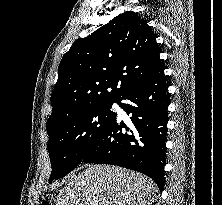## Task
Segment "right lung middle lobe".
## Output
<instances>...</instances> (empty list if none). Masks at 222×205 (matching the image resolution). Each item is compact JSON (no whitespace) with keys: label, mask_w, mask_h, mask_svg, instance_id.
Instances as JSON below:
<instances>
[{"label":"right lung middle lobe","mask_w":222,"mask_h":205,"mask_svg":"<svg viewBox=\"0 0 222 205\" xmlns=\"http://www.w3.org/2000/svg\"><path fill=\"white\" fill-rule=\"evenodd\" d=\"M113 102L119 103L106 101L93 104L46 125L52 166L50 183L71 172L83 160L92 142L116 116L111 110Z\"/></svg>","instance_id":"obj_1"}]
</instances>
